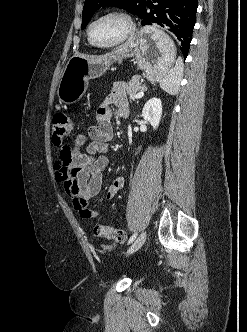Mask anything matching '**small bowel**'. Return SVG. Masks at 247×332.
I'll use <instances>...</instances> for the list:
<instances>
[{"instance_id":"small-bowel-1","label":"small bowel","mask_w":247,"mask_h":332,"mask_svg":"<svg viewBox=\"0 0 247 332\" xmlns=\"http://www.w3.org/2000/svg\"><path fill=\"white\" fill-rule=\"evenodd\" d=\"M121 118L129 116L125 86L117 84L97 109L94 123L85 133L75 137L74 147H64L55 164L56 179L71 197L75 209L83 219H95L99 212L89 201L98 195L102 185V171L109 163L108 142L113 136L112 110ZM125 179L117 176L109 185L105 197L113 199L124 186Z\"/></svg>"}]
</instances>
